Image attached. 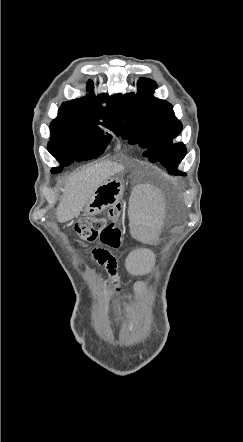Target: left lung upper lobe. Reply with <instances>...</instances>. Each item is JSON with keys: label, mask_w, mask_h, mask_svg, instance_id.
<instances>
[{"label": "left lung upper lobe", "mask_w": 243, "mask_h": 442, "mask_svg": "<svg viewBox=\"0 0 243 442\" xmlns=\"http://www.w3.org/2000/svg\"><path fill=\"white\" fill-rule=\"evenodd\" d=\"M137 88V94L124 95L125 122L120 134L131 143L140 141L142 147L150 146L144 155L175 173L187 153L182 143L173 142L182 124L176 119L171 104L152 95L157 87L151 79L140 78Z\"/></svg>", "instance_id": "5c2ea615"}]
</instances>
